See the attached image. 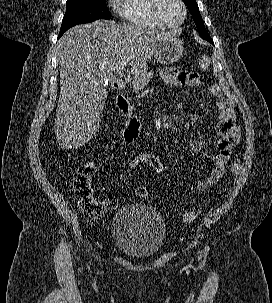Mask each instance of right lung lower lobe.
I'll list each match as a JSON object with an SVG mask.
<instances>
[{"instance_id": "98d812e1", "label": "right lung lower lobe", "mask_w": 272, "mask_h": 303, "mask_svg": "<svg viewBox=\"0 0 272 303\" xmlns=\"http://www.w3.org/2000/svg\"><path fill=\"white\" fill-rule=\"evenodd\" d=\"M63 34H59L58 39L62 36Z\"/></svg>"}]
</instances>
